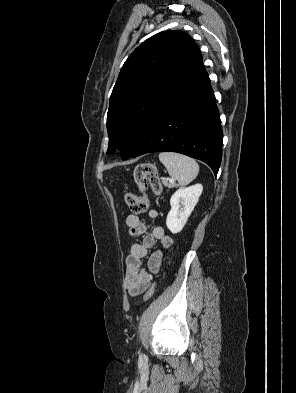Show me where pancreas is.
Segmentation results:
<instances>
[{"mask_svg":"<svg viewBox=\"0 0 296 393\" xmlns=\"http://www.w3.org/2000/svg\"><path fill=\"white\" fill-rule=\"evenodd\" d=\"M162 182H163V185L168 188H173L176 186V184L168 182V179H166V178H163Z\"/></svg>","mask_w":296,"mask_h":393,"instance_id":"pancreas-1","label":"pancreas"}]
</instances>
